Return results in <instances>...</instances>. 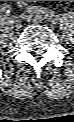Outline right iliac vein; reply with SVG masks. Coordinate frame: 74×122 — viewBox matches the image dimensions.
I'll use <instances>...</instances> for the list:
<instances>
[{
  "label": "right iliac vein",
  "mask_w": 74,
  "mask_h": 122,
  "mask_svg": "<svg viewBox=\"0 0 74 122\" xmlns=\"http://www.w3.org/2000/svg\"><path fill=\"white\" fill-rule=\"evenodd\" d=\"M13 25L16 29H20L22 27V21L18 17L13 18Z\"/></svg>",
  "instance_id": "right-iliac-vein-1"
}]
</instances>
